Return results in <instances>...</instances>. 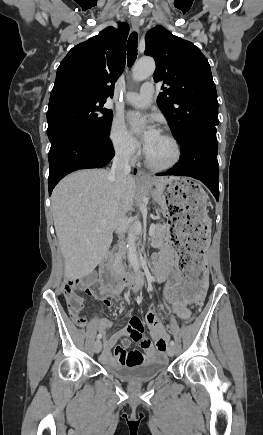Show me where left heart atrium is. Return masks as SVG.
Returning a JSON list of instances; mask_svg holds the SVG:
<instances>
[{
	"mask_svg": "<svg viewBox=\"0 0 263 435\" xmlns=\"http://www.w3.org/2000/svg\"><path fill=\"white\" fill-rule=\"evenodd\" d=\"M139 120L140 116L138 114H133L130 118L132 124H135ZM159 135L160 133L156 126L152 122H149L146 126L144 133L141 136V141L146 152L152 147Z\"/></svg>",
	"mask_w": 263,
	"mask_h": 435,
	"instance_id": "obj_1",
	"label": "left heart atrium"
}]
</instances>
